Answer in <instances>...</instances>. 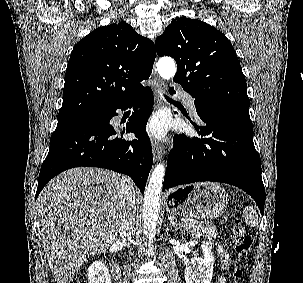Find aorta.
<instances>
[{"instance_id":"1","label":"aorta","mask_w":303,"mask_h":283,"mask_svg":"<svg viewBox=\"0 0 303 283\" xmlns=\"http://www.w3.org/2000/svg\"><path fill=\"white\" fill-rule=\"evenodd\" d=\"M157 70L163 79L169 80L173 78L176 73L174 60L170 57L161 58L157 63ZM164 175L165 166L163 164H158L151 174L144 195L143 228L144 236L146 237L148 245L153 242V239L156 235L157 223L160 213L159 201Z\"/></svg>"}]
</instances>
